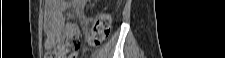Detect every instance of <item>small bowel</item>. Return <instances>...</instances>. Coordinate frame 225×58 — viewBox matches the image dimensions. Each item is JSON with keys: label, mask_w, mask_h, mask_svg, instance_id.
Returning <instances> with one entry per match:
<instances>
[{"label": "small bowel", "mask_w": 225, "mask_h": 58, "mask_svg": "<svg viewBox=\"0 0 225 58\" xmlns=\"http://www.w3.org/2000/svg\"><path fill=\"white\" fill-rule=\"evenodd\" d=\"M66 6L67 3L65 1H46L44 23L48 36L46 41V47L48 49H52L57 42L61 41L66 32V24L62 19V13Z\"/></svg>", "instance_id": "c3829d8e"}]
</instances>
